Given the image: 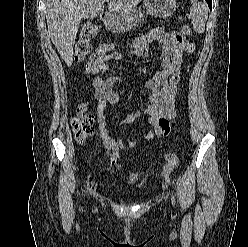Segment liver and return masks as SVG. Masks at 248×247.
Segmentation results:
<instances>
[{
  "instance_id": "6515ba94",
  "label": "liver",
  "mask_w": 248,
  "mask_h": 247,
  "mask_svg": "<svg viewBox=\"0 0 248 247\" xmlns=\"http://www.w3.org/2000/svg\"><path fill=\"white\" fill-rule=\"evenodd\" d=\"M110 1V2H109ZM111 17L128 15L142 0H109ZM105 0H47L46 20L51 40L67 66L73 62V47L82 18L93 19L104 11Z\"/></svg>"
}]
</instances>
